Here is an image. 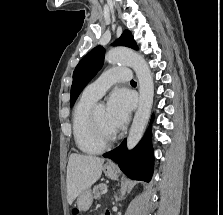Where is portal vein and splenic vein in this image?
I'll list each match as a JSON object with an SVG mask.
<instances>
[{
    "label": "portal vein and splenic vein",
    "mask_w": 223,
    "mask_h": 215,
    "mask_svg": "<svg viewBox=\"0 0 223 215\" xmlns=\"http://www.w3.org/2000/svg\"><path fill=\"white\" fill-rule=\"evenodd\" d=\"M102 190V195H105L106 193H108V191H110V188L104 187Z\"/></svg>",
    "instance_id": "1"
}]
</instances>
